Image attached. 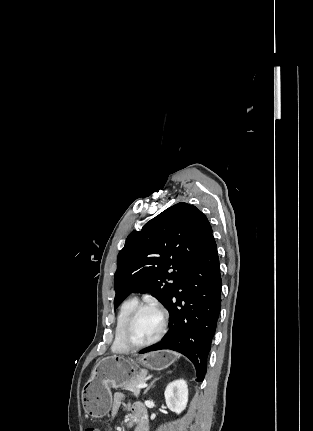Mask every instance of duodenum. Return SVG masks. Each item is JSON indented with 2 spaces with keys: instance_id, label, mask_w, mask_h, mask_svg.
Returning <instances> with one entry per match:
<instances>
[{
  "instance_id": "1",
  "label": "duodenum",
  "mask_w": 313,
  "mask_h": 431,
  "mask_svg": "<svg viewBox=\"0 0 313 431\" xmlns=\"http://www.w3.org/2000/svg\"><path fill=\"white\" fill-rule=\"evenodd\" d=\"M131 422L133 423V424H138L139 423V417L138 416H133L132 418H131Z\"/></svg>"
}]
</instances>
